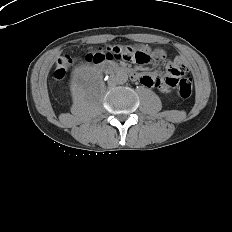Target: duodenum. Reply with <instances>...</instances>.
<instances>
[{"label": "duodenum", "instance_id": "obj_1", "mask_svg": "<svg viewBox=\"0 0 232 232\" xmlns=\"http://www.w3.org/2000/svg\"><path fill=\"white\" fill-rule=\"evenodd\" d=\"M99 73L100 74H126L130 78L137 80L138 79V73L135 72L134 70L125 67V66H104L99 68Z\"/></svg>", "mask_w": 232, "mask_h": 232}]
</instances>
